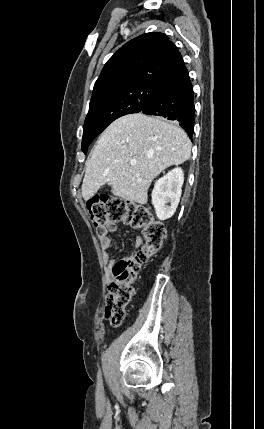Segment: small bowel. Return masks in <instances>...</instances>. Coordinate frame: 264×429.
Masks as SVG:
<instances>
[{
  "mask_svg": "<svg viewBox=\"0 0 264 429\" xmlns=\"http://www.w3.org/2000/svg\"><path fill=\"white\" fill-rule=\"evenodd\" d=\"M117 229L118 225L115 222H109L103 228V232L98 233L100 245L103 250V260L110 266L113 265V260L111 259L110 254L108 252L112 246V239L110 238L109 233H113L117 231ZM142 242V238L140 236H137L135 238L134 244L136 247H139L141 246Z\"/></svg>",
  "mask_w": 264,
  "mask_h": 429,
  "instance_id": "small-bowel-1",
  "label": "small bowel"
}]
</instances>
